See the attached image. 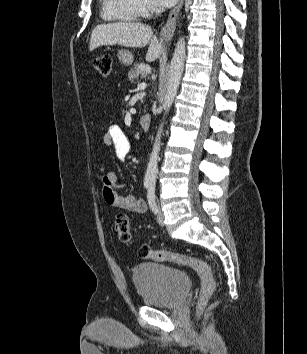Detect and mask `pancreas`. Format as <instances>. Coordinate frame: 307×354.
<instances>
[{"mask_svg": "<svg viewBox=\"0 0 307 354\" xmlns=\"http://www.w3.org/2000/svg\"><path fill=\"white\" fill-rule=\"evenodd\" d=\"M149 72V67L145 64H136L128 73L130 81L139 80V78H145Z\"/></svg>", "mask_w": 307, "mask_h": 354, "instance_id": "pancreas-1", "label": "pancreas"}]
</instances>
